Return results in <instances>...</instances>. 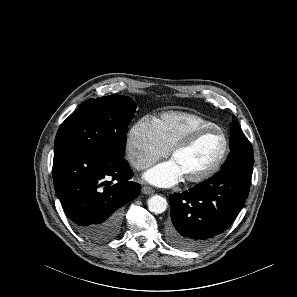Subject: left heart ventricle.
Masks as SVG:
<instances>
[{
    "mask_svg": "<svg viewBox=\"0 0 297 297\" xmlns=\"http://www.w3.org/2000/svg\"><path fill=\"white\" fill-rule=\"evenodd\" d=\"M223 140L217 133L200 136L190 147L177 153L172 161L183 178L197 176L210 168L220 157Z\"/></svg>",
    "mask_w": 297,
    "mask_h": 297,
    "instance_id": "b2bd125f",
    "label": "left heart ventricle"
}]
</instances>
